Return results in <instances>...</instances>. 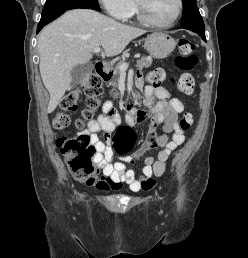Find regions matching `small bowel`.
I'll return each mask as SVG.
<instances>
[{"label":"small bowel","instance_id":"1","mask_svg":"<svg viewBox=\"0 0 248 258\" xmlns=\"http://www.w3.org/2000/svg\"><path fill=\"white\" fill-rule=\"evenodd\" d=\"M137 85L143 88L141 78H137ZM144 104L150 112L130 109L126 115V122L131 128L139 122L151 121V131L147 139L129 156L122 161L113 162V152L110 147L111 134L120 123V116L111 101L102 105V113L96 119L88 122L87 134L96 147L94 162L103 176L96 180H87V185H93L100 190H114L123 184L128 185L132 192H142L153 189L154 180L164 174L170 155L183 144L185 136L179 125V115L184 106L178 98H172L162 86L147 85L143 89ZM157 99V101H155ZM162 125V133L155 129ZM104 131V141L99 140L98 133ZM159 148L156 158L147 155L144 158L142 177L136 178L135 172L127 168V164H134L146 151Z\"/></svg>","mask_w":248,"mask_h":258}]
</instances>
